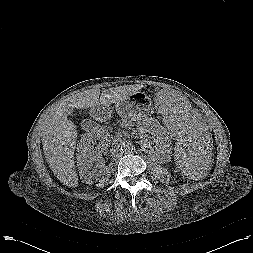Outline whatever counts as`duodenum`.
<instances>
[{
    "instance_id": "obj_1",
    "label": "duodenum",
    "mask_w": 253,
    "mask_h": 253,
    "mask_svg": "<svg viewBox=\"0 0 253 253\" xmlns=\"http://www.w3.org/2000/svg\"><path fill=\"white\" fill-rule=\"evenodd\" d=\"M94 110L97 112L98 116H100L104 113V109L101 107H96V108H94ZM92 129H94L93 126H89L86 128V130H92Z\"/></svg>"
}]
</instances>
